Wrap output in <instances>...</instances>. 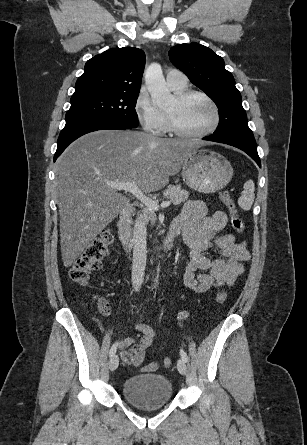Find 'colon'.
<instances>
[{
	"instance_id": "1",
	"label": "colon",
	"mask_w": 307,
	"mask_h": 445,
	"mask_svg": "<svg viewBox=\"0 0 307 445\" xmlns=\"http://www.w3.org/2000/svg\"><path fill=\"white\" fill-rule=\"evenodd\" d=\"M219 197L229 211L233 229L238 233H242L245 229V224L237 213L236 204L230 193L228 191H222ZM112 241L113 234L110 230L101 232L74 261L70 271L72 280L81 285L87 284L92 274L100 268L103 258L108 255L109 246ZM226 298V292L221 290L217 293L216 301L218 304H223ZM99 309L103 314L109 313V306L104 300L99 302ZM171 364L172 360L165 357L160 362L149 364L145 370L153 371L160 366L169 368Z\"/></svg>"
}]
</instances>
